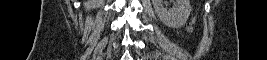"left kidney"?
Listing matches in <instances>:
<instances>
[{
	"label": "left kidney",
	"mask_w": 267,
	"mask_h": 60,
	"mask_svg": "<svg viewBox=\"0 0 267 60\" xmlns=\"http://www.w3.org/2000/svg\"><path fill=\"white\" fill-rule=\"evenodd\" d=\"M174 7L166 8L164 4H168L164 0H152L153 7L160 21L170 28H180L186 22L191 12L189 0H175Z\"/></svg>",
	"instance_id": "5707ae66"
}]
</instances>
